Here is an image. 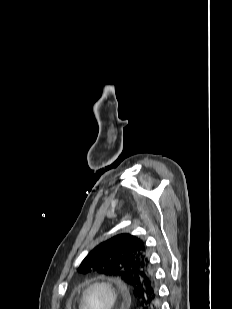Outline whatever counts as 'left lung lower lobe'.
Listing matches in <instances>:
<instances>
[{"mask_svg": "<svg viewBox=\"0 0 232 309\" xmlns=\"http://www.w3.org/2000/svg\"><path fill=\"white\" fill-rule=\"evenodd\" d=\"M160 296L156 284L152 287L146 299L139 303L141 309H160Z\"/></svg>", "mask_w": 232, "mask_h": 309, "instance_id": "0a47b994", "label": "left lung lower lobe"}]
</instances>
